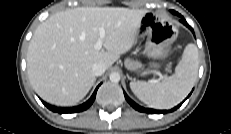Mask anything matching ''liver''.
<instances>
[{
  "label": "liver",
  "mask_w": 231,
  "mask_h": 134,
  "mask_svg": "<svg viewBox=\"0 0 231 134\" xmlns=\"http://www.w3.org/2000/svg\"><path fill=\"white\" fill-rule=\"evenodd\" d=\"M147 10L122 7H78L51 15L35 30L27 51V73L35 92L46 102L71 106L95 82L92 65L106 69L136 42ZM103 46L95 49L99 28Z\"/></svg>",
  "instance_id": "6515ba94"
}]
</instances>
